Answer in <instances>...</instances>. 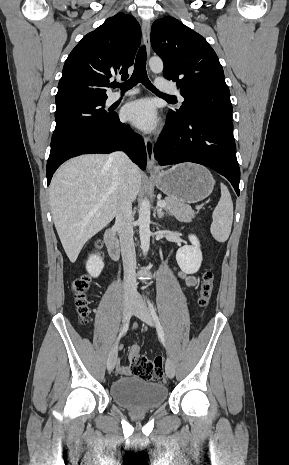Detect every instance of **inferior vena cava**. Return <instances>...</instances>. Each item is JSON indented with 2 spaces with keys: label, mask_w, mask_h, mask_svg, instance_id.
I'll return each mask as SVG.
<instances>
[{
  "label": "inferior vena cava",
  "mask_w": 289,
  "mask_h": 465,
  "mask_svg": "<svg viewBox=\"0 0 289 465\" xmlns=\"http://www.w3.org/2000/svg\"><path fill=\"white\" fill-rule=\"evenodd\" d=\"M109 162L113 164L115 172L120 178V199L116 212L115 225L118 230L121 254L124 268V300L137 296L136 282V253L133 241L132 202L128 197L126 170L130 162L127 155L117 151L109 155Z\"/></svg>",
  "instance_id": "1"
}]
</instances>
